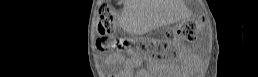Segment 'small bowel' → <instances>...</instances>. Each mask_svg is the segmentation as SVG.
Listing matches in <instances>:
<instances>
[{"instance_id":"obj_1","label":"small bowel","mask_w":258,"mask_h":77,"mask_svg":"<svg viewBox=\"0 0 258 77\" xmlns=\"http://www.w3.org/2000/svg\"><path fill=\"white\" fill-rule=\"evenodd\" d=\"M139 60L137 58H127L123 60V66L126 70H132L136 65H138ZM131 71H124V73H130Z\"/></svg>"}]
</instances>
